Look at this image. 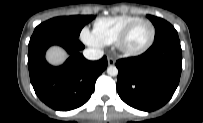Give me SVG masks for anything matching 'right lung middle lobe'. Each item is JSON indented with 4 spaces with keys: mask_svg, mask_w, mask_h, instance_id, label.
<instances>
[{
    "mask_svg": "<svg viewBox=\"0 0 203 123\" xmlns=\"http://www.w3.org/2000/svg\"><path fill=\"white\" fill-rule=\"evenodd\" d=\"M93 19L94 16L92 15L56 17L38 25L34 32H46L57 36L77 39L82 28Z\"/></svg>",
    "mask_w": 203,
    "mask_h": 123,
    "instance_id": "dd1d6c3e",
    "label": "right lung middle lobe"
}]
</instances>
